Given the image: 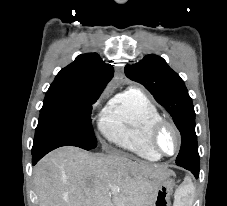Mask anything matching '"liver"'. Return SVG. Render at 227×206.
Instances as JSON below:
<instances>
[{"label": "liver", "mask_w": 227, "mask_h": 206, "mask_svg": "<svg viewBox=\"0 0 227 206\" xmlns=\"http://www.w3.org/2000/svg\"><path fill=\"white\" fill-rule=\"evenodd\" d=\"M173 174L160 165L61 147L35 166L39 206H152Z\"/></svg>", "instance_id": "liver-1"}]
</instances>
